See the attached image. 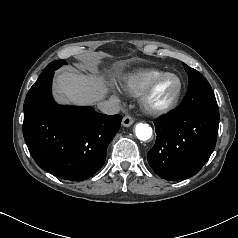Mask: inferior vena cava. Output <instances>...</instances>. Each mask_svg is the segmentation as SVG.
Wrapping results in <instances>:
<instances>
[{
    "label": "inferior vena cava",
    "mask_w": 238,
    "mask_h": 238,
    "mask_svg": "<svg viewBox=\"0 0 238 238\" xmlns=\"http://www.w3.org/2000/svg\"><path fill=\"white\" fill-rule=\"evenodd\" d=\"M98 108L102 113L107 115L117 114L121 109L120 100L112 96L108 100L100 102Z\"/></svg>",
    "instance_id": "inferior-vena-cava-1"
}]
</instances>
